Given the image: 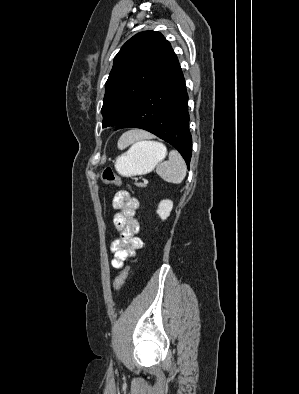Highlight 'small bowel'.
Returning a JSON list of instances; mask_svg holds the SVG:
<instances>
[{"label":"small bowel","instance_id":"c3829d8e","mask_svg":"<svg viewBox=\"0 0 299 394\" xmlns=\"http://www.w3.org/2000/svg\"><path fill=\"white\" fill-rule=\"evenodd\" d=\"M112 206L115 210L113 223L120 236L110 245L113 253L111 264L120 269L143 246L142 240L137 236L139 223L135 218L139 201L127 191L121 190L115 193Z\"/></svg>","mask_w":299,"mask_h":394}]
</instances>
